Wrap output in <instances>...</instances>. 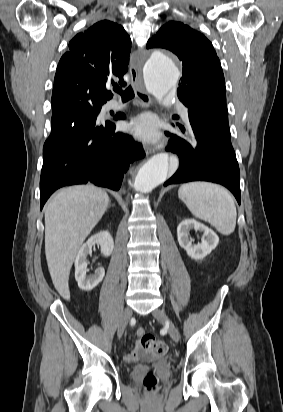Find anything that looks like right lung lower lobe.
<instances>
[{"mask_svg":"<svg viewBox=\"0 0 283 412\" xmlns=\"http://www.w3.org/2000/svg\"><path fill=\"white\" fill-rule=\"evenodd\" d=\"M97 116L87 112L71 123L51 125L43 147L40 209L62 186L89 182L118 190L129 164L145 156L131 136Z\"/></svg>","mask_w":283,"mask_h":412,"instance_id":"98d812e1","label":"right lung lower lobe"}]
</instances>
